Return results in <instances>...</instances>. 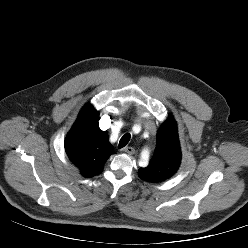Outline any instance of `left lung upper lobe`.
Here are the masks:
<instances>
[{
	"label": "left lung upper lobe",
	"mask_w": 248,
	"mask_h": 248,
	"mask_svg": "<svg viewBox=\"0 0 248 248\" xmlns=\"http://www.w3.org/2000/svg\"><path fill=\"white\" fill-rule=\"evenodd\" d=\"M181 162V149L176 122L169 116L157 132L154 155L145 168H140L141 179L151 183L165 181L178 170Z\"/></svg>",
	"instance_id": "left-lung-upper-lobe-1"
}]
</instances>
